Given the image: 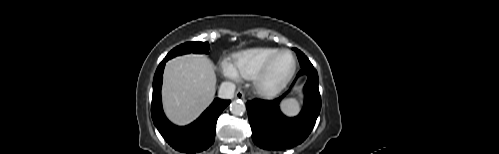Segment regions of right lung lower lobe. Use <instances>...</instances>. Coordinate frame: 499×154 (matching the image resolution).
Wrapping results in <instances>:
<instances>
[{
  "instance_id": "right-lung-lower-lobe-1",
  "label": "right lung lower lobe",
  "mask_w": 499,
  "mask_h": 154,
  "mask_svg": "<svg viewBox=\"0 0 499 154\" xmlns=\"http://www.w3.org/2000/svg\"><path fill=\"white\" fill-rule=\"evenodd\" d=\"M164 59L158 66L153 80L151 115L155 126L166 142L175 150L196 153L207 149L215 138L216 122L224 108L231 102L216 98L202 115L188 126H176L165 116L162 109V75L166 63Z\"/></svg>"
}]
</instances>
